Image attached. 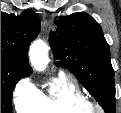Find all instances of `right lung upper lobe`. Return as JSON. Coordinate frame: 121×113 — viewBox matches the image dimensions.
I'll return each mask as SVG.
<instances>
[{"label": "right lung upper lobe", "mask_w": 121, "mask_h": 113, "mask_svg": "<svg viewBox=\"0 0 121 113\" xmlns=\"http://www.w3.org/2000/svg\"><path fill=\"white\" fill-rule=\"evenodd\" d=\"M40 19L32 10L21 15L1 12V59L9 61L29 75L32 68L28 63L27 51L30 43L40 32Z\"/></svg>", "instance_id": "obj_1"}]
</instances>
